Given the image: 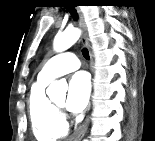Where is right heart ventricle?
Listing matches in <instances>:
<instances>
[{"label": "right heart ventricle", "instance_id": "1", "mask_svg": "<svg viewBox=\"0 0 155 141\" xmlns=\"http://www.w3.org/2000/svg\"><path fill=\"white\" fill-rule=\"evenodd\" d=\"M49 82L38 78L32 85L28 98L32 130L39 141H55L67 134L65 121L45 93Z\"/></svg>", "mask_w": 155, "mask_h": 141}]
</instances>
